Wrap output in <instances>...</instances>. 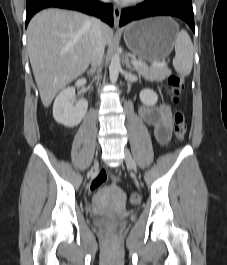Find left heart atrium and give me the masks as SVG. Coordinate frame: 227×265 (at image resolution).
Returning <instances> with one entry per match:
<instances>
[{
    "label": "left heart atrium",
    "mask_w": 227,
    "mask_h": 265,
    "mask_svg": "<svg viewBox=\"0 0 227 265\" xmlns=\"http://www.w3.org/2000/svg\"><path fill=\"white\" fill-rule=\"evenodd\" d=\"M119 1H127V0H119Z\"/></svg>",
    "instance_id": "1"
}]
</instances>
